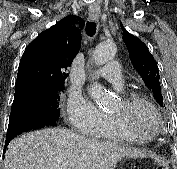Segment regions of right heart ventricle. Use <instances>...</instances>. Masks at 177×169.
Listing matches in <instances>:
<instances>
[{
	"mask_svg": "<svg viewBox=\"0 0 177 169\" xmlns=\"http://www.w3.org/2000/svg\"><path fill=\"white\" fill-rule=\"evenodd\" d=\"M97 138L113 140V141H126L128 140L121 132L113 118L109 114L104 115V120L99 132L96 134ZM150 139H143L137 142H145Z\"/></svg>",
	"mask_w": 177,
	"mask_h": 169,
	"instance_id": "e07e8e85",
	"label": "right heart ventricle"
}]
</instances>
